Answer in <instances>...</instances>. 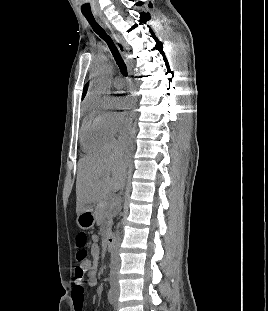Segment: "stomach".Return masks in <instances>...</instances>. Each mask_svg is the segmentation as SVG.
Segmentation results:
<instances>
[{"mask_svg":"<svg viewBox=\"0 0 268 311\" xmlns=\"http://www.w3.org/2000/svg\"><path fill=\"white\" fill-rule=\"evenodd\" d=\"M95 212L92 207H87L83 212L78 214L76 223L81 229H90L95 224Z\"/></svg>","mask_w":268,"mask_h":311,"instance_id":"stomach-1","label":"stomach"}]
</instances>
